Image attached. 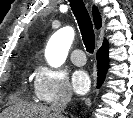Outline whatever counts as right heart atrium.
Wrapping results in <instances>:
<instances>
[{
	"label": "right heart atrium",
	"mask_w": 133,
	"mask_h": 118,
	"mask_svg": "<svg viewBox=\"0 0 133 118\" xmlns=\"http://www.w3.org/2000/svg\"><path fill=\"white\" fill-rule=\"evenodd\" d=\"M33 90L36 99L46 104L58 99H68L72 94L65 72L44 64H39L36 68Z\"/></svg>",
	"instance_id": "1"
}]
</instances>
